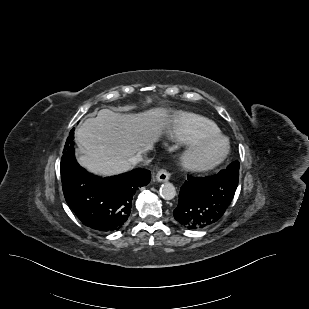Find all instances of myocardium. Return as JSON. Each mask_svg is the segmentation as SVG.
Wrapping results in <instances>:
<instances>
[{"label": "myocardium", "mask_w": 309, "mask_h": 309, "mask_svg": "<svg viewBox=\"0 0 309 309\" xmlns=\"http://www.w3.org/2000/svg\"><path fill=\"white\" fill-rule=\"evenodd\" d=\"M214 144L221 145V149L213 155H206V150ZM229 151L230 144L224 136L220 134L206 135L187 142L180 154V160L186 170L205 172L221 164L228 156Z\"/></svg>", "instance_id": "1"}]
</instances>
